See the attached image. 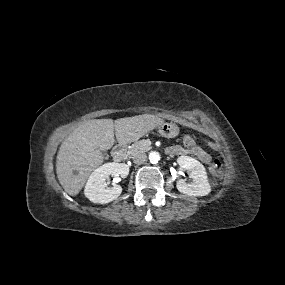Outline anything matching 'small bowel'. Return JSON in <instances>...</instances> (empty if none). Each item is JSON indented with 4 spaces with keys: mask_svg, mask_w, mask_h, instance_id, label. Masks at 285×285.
Wrapping results in <instances>:
<instances>
[{
    "mask_svg": "<svg viewBox=\"0 0 285 285\" xmlns=\"http://www.w3.org/2000/svg\"><path fill=\"white\" fill-rule=\"evenodd\" d=\"M168 152L171 155L192 154L196 156L202 163L209 164L211 161L210 155L197 144L194 148L188 149L183 145H175L169 148Z\"/></svg>",
    "mask_w": 285,
    "mask_h": 285,
    "instance_id": "c3829d8e",
    "label": "small bowel"
}]
</instances>
